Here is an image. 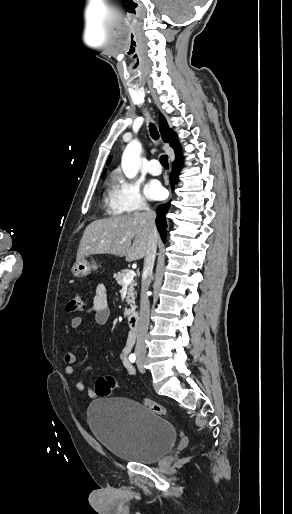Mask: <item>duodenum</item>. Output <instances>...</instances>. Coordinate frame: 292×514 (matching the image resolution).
<instances>
[{"instance_id": "duodenum-1", "label": "duodenum", "mask_w": 292, "mask_h": 514, "mask_svg": "<svg viewBox=\"0 0 292 514\" xmlns=\"http://www.w3.org/2000/svg\"><path fill=\"white\" fill-rule=\"evenodd\" d=\"M129 329L134 334L139 328V315L137 312H133L129 315L128 319Z\"/></svg>"}]
</instances>
